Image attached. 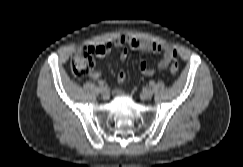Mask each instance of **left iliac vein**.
<instances>
[{"instance_id":"1","label":"left iliac vein","mask_w":243,"mask_h":167,"mask_svg":"<svg viewBox=\"0 0 243 167\" xmlns=\"http://www.w3.org/2000/svg\"><path fill=\"white\" fill-rule=\"evenodd\" d=\"M152 96H153V92H152V90L149 89V88H145V89H143L142 92H141V97H142L143 99H151Z\"/></svg>"}]
</instances>
